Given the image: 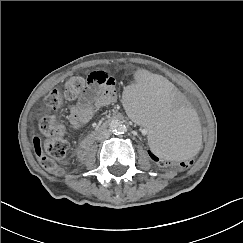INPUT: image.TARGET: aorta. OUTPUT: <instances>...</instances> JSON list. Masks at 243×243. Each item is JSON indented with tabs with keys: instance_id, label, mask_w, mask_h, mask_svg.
I'll return each mask as SVG.
<instances>
[{
	"instance_id": "762f6f07",
	"label": "aorta",
	"mask_w": 243,
	"mask_h": 243,
	"mask_svg": "<svg viewBox=\"0 0 243 243\" xmlns=\"http://www.w3.org/2000/svg\"><path fill=\"white\" fill-rule=\"evenodd\" d=\"M110 129L115 134H123L127 131V127L120 120H113L110 124Z\"/></svg>"
}]
</instances>
